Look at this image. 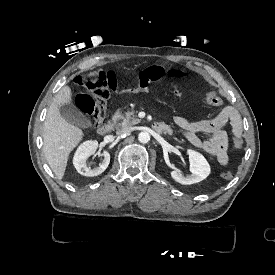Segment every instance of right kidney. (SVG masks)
<instances>
[{
  "mask_svg": "<svg viewBox=\"0 0 275 275\" xmlns=\"http://www.w3.org/2000/svg\"><path fill=\"white\" fill-rule=\"evenodd\" d=\"M98 148V142L96 140H88L79 145L74 157L73 165L77 172L84 176H97L103 173L110 163V154L107 151L103 152L104 160L99 167L91 169L87 166L86 160L93 155Z\"/></svg>",
  "mask_w": 275,
  "mask_h": 275,
  "instance_id": "ca27d5eb",
  "label": "right kidney"
}]
</instances>
